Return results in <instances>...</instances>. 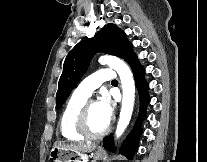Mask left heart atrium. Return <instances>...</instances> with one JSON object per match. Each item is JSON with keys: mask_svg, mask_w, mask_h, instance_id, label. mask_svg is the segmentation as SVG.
Returning <instances> with one entry per match:
<instances>
[{"mask_svg": "<svg viewBox=\"0 0 207 162\" xmlns=\"http://www.w3.org/2000/svg\"><path fill=\"white\" fill-rule=\"evenodd\" d=\"M99 105L108 121L111 120L113 112H114V105L112 102L111 97L108 94H104L101 97Z\"/></svg>", "mask_w": 207, "mask_h": 162, "instance_id": "1", "label": "left heart atrium"}]
</instances>
